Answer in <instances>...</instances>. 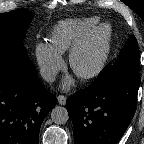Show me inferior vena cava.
<instances>
[{
  "mask_svg": "<svg viewBox=\"0 0 144 144\" xmlns=\"http://www.w3.org/2000/svg\"><path fill=\"white\" fill-rule=\"evenodd\" d=\"M41 75L44 80L48 82H53L57 75V71L53 69H47V70L42 71Z\"/></svg>",
  "mask_w": 144,
  "mask_h": 144,
  "instance_id": "1",
  "label": "inferior vena cava"
}]
</instances>
